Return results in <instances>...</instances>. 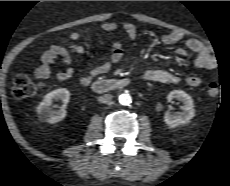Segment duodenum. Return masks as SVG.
<instances>
[{"mask_svg":"<svg viewBox=\"0 0 230 186\" xmlns=\"http://www.w3.org/2000/svg\"><path fill=\"white\" fill-rule=\"evenodd\" d=\"M129 78L102 79L93 82L92 89L98 93H105L117 89H122L130 85Z\"/></svg>","mask_w":230,"mask_h":186,"instance_id":"obj_1","label":"duodenum"}]
</instances>
